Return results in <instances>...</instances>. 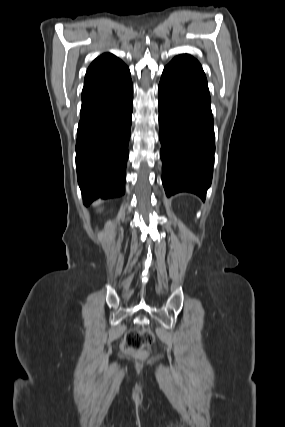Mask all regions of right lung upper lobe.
<instances>
[{
	"mask_svg": "<svg viewBox=\"0 0 285 427\" xmlns=\"http://www.w3.org/2000/svg\"><path fill=\"white\" fill-rule=\"evenodd\" d=\"M126 65L111 53L97 57L86 72L84 85L102 80L121 71Z\"/></svg>",
	"mask_w": 285,
	"mask_h": 427,
	"instance_id": "cb5924a9",
	"label": "right lung upper lobe"
}]
</instances>
